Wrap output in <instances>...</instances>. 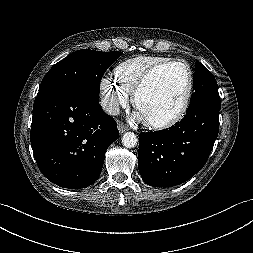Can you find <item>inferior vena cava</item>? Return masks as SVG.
Returning a JSON list of instances; mask_svg holds the SVG:
<instances>
[{"instance_id":"602c4592","label":"inferior vena cava","mask_w":253,"mask_h":253,"mask_svg":"<svg viewBox=\"0 0 253 253\" xmlns=\"http://www.w3.org/2000/svg\"><path fill=\"white\" fill-rule=\"evenodd\" d=\"M101 106L110 115L116 116L120 113L119 104L113 100L104 99L101 101Z\"/></svg>"}]
</instances>
